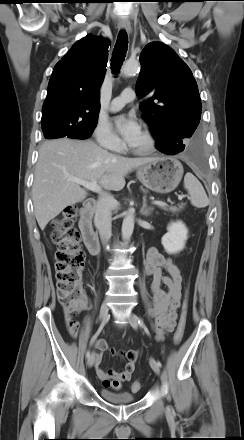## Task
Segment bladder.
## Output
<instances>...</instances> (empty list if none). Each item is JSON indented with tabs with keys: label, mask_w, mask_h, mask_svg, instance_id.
<instances>
[{
	"label": "bladder",
	"mask_w": 244,
	"mask_h": 440,
	"mask_svg": "<svg viewBox=\"0 0 244 440\" xmlns=\"http://www.w3.org/2000/svg\"><path fill=\"white\" fill-rule=\"evenodd\" d=\"M99 393L105 401L113 404H128L136 400V396L130 392H115L105 386L100 388Z\"/></svg>",
	"instance_id": "31cf9c89"
}]
</instances>
